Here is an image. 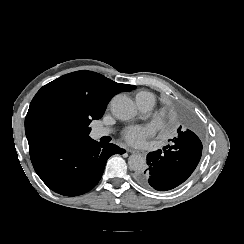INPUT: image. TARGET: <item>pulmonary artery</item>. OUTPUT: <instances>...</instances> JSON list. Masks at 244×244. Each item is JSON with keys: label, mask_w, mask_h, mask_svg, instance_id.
<instances>
[{"label": "pulmonary artery", "mask_w": 244, "mask_h": 244, "mask_svg": "<svg viewBox=\"0 0 244 244\" xmlns=\"http://www.w3.org/2000/svg\"><path fill=\"white\" fill-rule=\"evenodd\" d=\"M136 104H137L139 111L142 114H148L152 110V108L155 106L156 99L152 94L147 93V92H142L137 96ZM110 133H111V130L108 128H103V127L95 128L91 132V137L100 138V137L108 135Z\"/></svg>", "instance_id": "obj_1"}]
</instances>
